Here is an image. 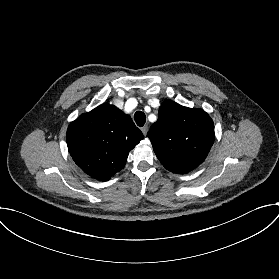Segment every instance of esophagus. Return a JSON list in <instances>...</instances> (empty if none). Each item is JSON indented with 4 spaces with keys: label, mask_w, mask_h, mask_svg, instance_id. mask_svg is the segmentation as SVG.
Instances as JSON below:
<instances>
[{
    "label": "esophagus",
    "mask_w": 279,
    "mask_h": 279,
    "mask_svg": "<svg viewBox=\"0 0 279 279\" xmlns=\"http://www.w3.org/2000/svg\"><path fill=\"white\" fill-rule=\"evenodd\" d=\"M142 133L146 136L147 132H148V126L145 125L141 128Z\"/></svg>",
    "instance_id": "esophagus-1"
}]
</instances>
